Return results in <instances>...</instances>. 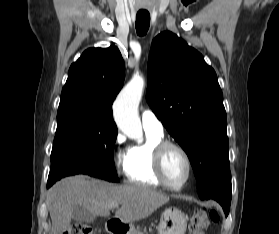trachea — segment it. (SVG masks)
Here are the masks:
<instances>
[{
  "label": "trachea",
  "instance_id": "3493384b",
  "mask_svg": "<svg viewBox=\"0 0 279 234\" xmlns=\"http://www.w3.org/2000/svg\"><path fill=\"white\" fill-rule=\"evenodd\" d=\"M150 25L149 12H138L136 15V31L139 36H144Z\"/></svg>",
  "mask_w": 279,
  "mask_h": 234
}]
</instances>
